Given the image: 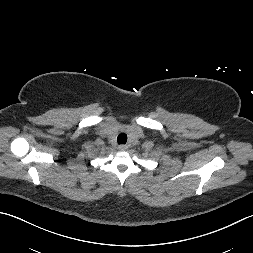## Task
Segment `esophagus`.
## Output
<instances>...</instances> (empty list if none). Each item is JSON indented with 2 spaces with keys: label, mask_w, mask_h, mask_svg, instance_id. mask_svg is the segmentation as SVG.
Listing matches in <instances>:
<instances>
[{
  "label": "esophagus",
  "mask_w": 253,
  "mask_h": 253,
  "mask_svg": "<svg viewBox=\"0 0 253 253\" xmlns=\"http://www.w3.org/2000/svg\"><path fill=\"white\" fill-rule=\"evenodd\" d=\"M127 148H128L127 145H120L119 146V150H121V151H125V150H127Z\"/></svg>",
  "instance_id": "obj_1"
}]
</instances>
